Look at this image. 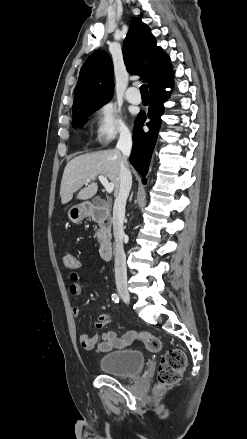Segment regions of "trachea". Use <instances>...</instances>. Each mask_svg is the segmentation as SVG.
<instances>
[{
  "label": "trachea",
  "mask_w": 247,
  "mask_h": 439,
  "mask_svg": "<svg viewBox=\"0 0 247 439\" xmlns=\"http://www.w3.org/2000/svg\"><path fill=\"white\" fill-rule=\"evenodd\" d=\"M140 92L142 96H149L148 86L146 84L141 85Z\"/></svg>",
  "instance_id": "1"
}]
</instances>
